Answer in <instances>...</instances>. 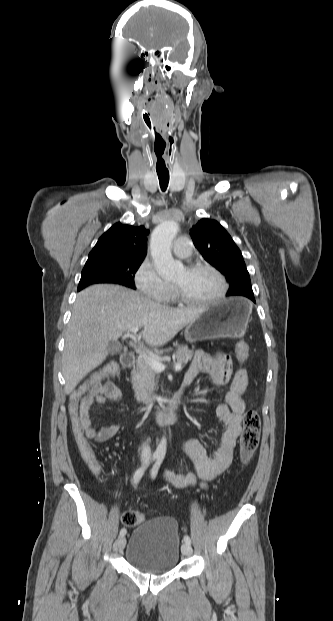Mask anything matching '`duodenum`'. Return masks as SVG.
<instances>
[{
  "label": "duodenum",
  "mask_w": 333,
  "mask_h": 621,
  "mask_svg": "<svg viewBox=\"0 0 333 621\" xmlns=\"http://www.w3.org/2000/svg\"><path fill=\"white\" fill-rule=\"evenodd\" d=\"M136 361V357L133 353H125L121 357V364L124 367H133ZM181 399L179 395L175 402L168 409H154L151 411L149 419L151 423L163 424L175 422L179 417L178 402Z\"/></svg>",
  "instance_id": "duodenum-1"
}]
</instances>
